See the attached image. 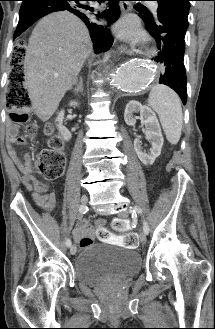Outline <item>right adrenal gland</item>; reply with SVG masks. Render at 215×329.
I'll return each mask as SVG.
<instances>
[{"label":"right adrenal gland","instance_id":"2a0ac1e0","mask_svg":"<svg viewBox=\"0 0 215 329\" xmlns=\"http://www.w3.org/2000/svg\"><path fill=\"white\" fill-rule=\"evenodd\" d=\"M74 92L78 93V92H83V79L80 77L79 78V84L75 86L74 88Z\"/></svg>","mask_w":215,"mask_h":329}]
</instances>
